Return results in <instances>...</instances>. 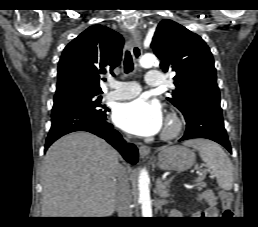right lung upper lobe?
<instances>
[{
	"label": "right lung upper lobe",
	"instance_id": "1",
	"mask_svg": "<svg viewBox=\"0 0 258 227\" xmlns=\"http://www.w3.org/2000/svg\"><path fill=\"white\" fill-rule=\"evenodd\" d=\"M124 39L102 25H93L64 49L58 66L56 93L80 89L102 93L100 75L117 67Z\"/></svg>",
	"mask_w": 258,
	"mask_h": 227
}]
</instances>
